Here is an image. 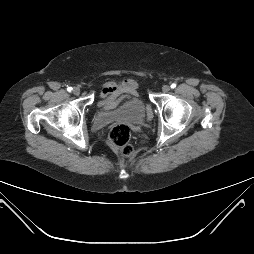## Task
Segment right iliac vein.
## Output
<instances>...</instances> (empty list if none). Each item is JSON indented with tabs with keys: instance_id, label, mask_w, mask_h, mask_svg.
<instances>
[{
	"instance_id": "obj_1",
	"label": "right iliac vein",
	"mask_w": 254,
	"mask_h": 254,
	"mask_svg": "<svg viewBox=\"0 0 254 254\" xmlns=\"http://www.w3.org/2000/svg\"><path fill=\"white\" fill-rule=\"evenodd\" d=\"M72 92L74 95L78 96L80 94V89L78 87H75Z\"/></svg>"
}]
</instances>
